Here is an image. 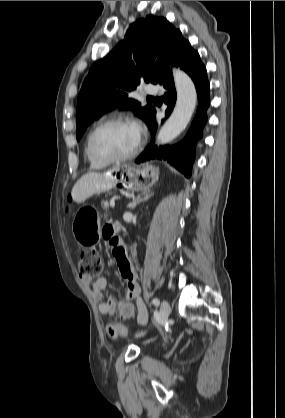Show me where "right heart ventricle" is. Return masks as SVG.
<instances>
[{
	"label": "right heart ventricle",
	"mask_w": 285,
	"mask_h": 418,
	"mask_svg": "<svg viewBox=\"0 0 285 418\" xmlns=\"http://www.w3.org/2000/svg\"><path fill=\"white\" fill-rule=\"evenodd\" d=\"M85 156H86V159H87V161H88V163H89V165H90V167L92 168V169H94V170H99V169H102V168H104V167H106L108 164H106V163H101V162H99V161H96L95 159H93L91 156H90V154H89V152H88V150H87V145L85 144Z\"/></svg>",
	"instance_id": "1"
}]
</instances>
